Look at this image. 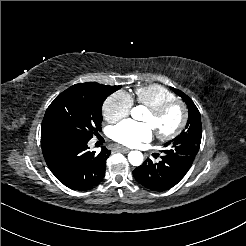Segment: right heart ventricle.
<instances>
[{
    "label": "right heart ventricle",
    "mask_w": 246,
    "mask_h": 246,
    "mask_svg": "<svg viewBox=\"0 0 246 246\" xmlns=\"http://www.w3.org/2000/svg\"><path fill=\"white\" fill-rule=\"evenodd\" d=\"M134 97L139 106L147 109L156 108L163 103L176 100L174 93L159 84H151L135 89Z\"/></svg>",
    "instance_id": "obj_1"
}]
</instances>
